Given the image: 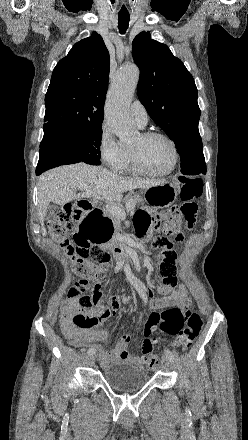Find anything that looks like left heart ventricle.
<instances>
[{
    "label": "left heart ventricle",
    "mask_w": 248,
    "mask_h": 440,
    "mask_svg": "<svg viewBox=\"0 0 248 440\" xmlns=\"http://www.w3.org/2000/svg\"><path fill=\"white\" fill-rule=\"evenodd\" d=\"M131 147L139 152L143 165L150 171H166L173 162L172 148L162 138L144 140L139 135Z\"/></svg>",
    "instance_id": "left-heart-ventricle-1"
}]
</instances>
